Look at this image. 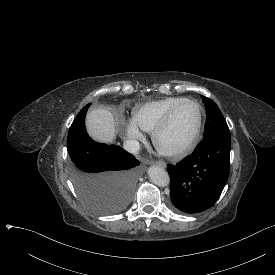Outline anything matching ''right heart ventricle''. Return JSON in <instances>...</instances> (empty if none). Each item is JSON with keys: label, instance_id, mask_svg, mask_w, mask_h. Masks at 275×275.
I'll list each match as a JSON object with an SVG mask.
<instances>
[{"label": "right heart ventricle", "instance_id": "obj_1", "mask_svg": "<svg viewBox=\"0 0 275 275\" xmlns=\"http://www.w3.org/2000/svg\"><path fill=\"white\" fill-rule=\"evenodd\" d=\"M183 97H169L155 100L133 108L131 121L141 130L151 133L162 122L167 112Z\"/></svg>", "mask_w": 275, "mask_h": 275}]
</instances>
